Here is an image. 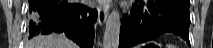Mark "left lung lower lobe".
<instances>
[{"instance_id": "obj_1", "label": "left lung lower lobe", "mask_w": 213, "mask_h": 48, "mask_svg": "<svg viewBox=\"0 0 213 48\" xmlns=\"http://www.w3.org/2000/svg\"><path fill=\"white\" fill-rule=\"evenodd\" d=\"M189 4L181 0H139L121 23L119 48H129L173 32L189 42Z\"/></svg>"}]
</instances>
